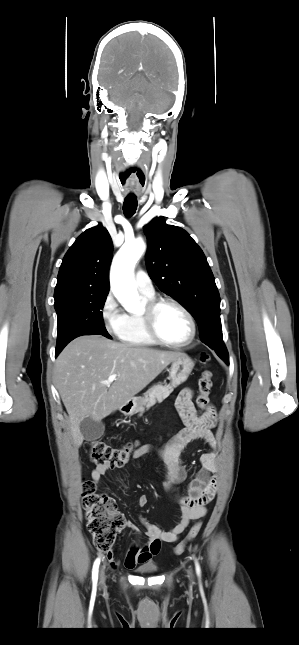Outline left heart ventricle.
I'll use <instances>...</instances> for the list:
<instances>
[{"label":"left heart ventricle","instance_id":"1","mask_svg":"<svg viewBox=\"0 0 299 645\" xmlns=\"http://www.w3.org/2000/svg\"><path fill=\"white\" fill-rule=\"evenodd\" d=\"M157 329L166 340L181 342L190 334V324L184 313L172 305H164L157 314Z\"/></svg>","mask_w":299,"mask_h":645}]
</instances>
